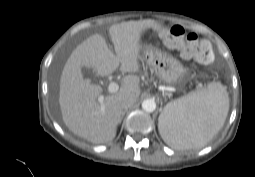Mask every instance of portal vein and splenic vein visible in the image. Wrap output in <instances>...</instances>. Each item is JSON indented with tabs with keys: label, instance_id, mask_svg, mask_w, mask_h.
<instances>
[{
	"label": "portal vein and splenic vein",
	"instance_id": "portal-vein-and-splenic-vein-1",
	"mask_svg": "<svg viewBox=\"0 0 255 177\" xmlns=\"http://www.w3.org/2000/svg\"><path fill=\"white\" fill-rule=\"evenodd\" d=\"M119 90V85L114 82V81H111L108 85V92L109 93H116L117 91ZM100 102H103L104 100V97L103 96H100L99 99H98Z\"/></svg>",
	"mask_w": 255,
	"mask_h": 177
}]
</instances>
